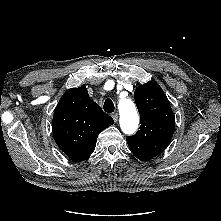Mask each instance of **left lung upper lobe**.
I'll return each instance as SVG.
<instances>
[{"label":"left lung upper lobe","mask_w":221,"mask_h":221,"mask_svg":"<svg viewBox=\"0 0 221 221\" xmlns=\"http://www.w3.org/2000/svg\"><path fill=\"white\" fill-rule=\"evenodd\" d=\"M135 102L140 113V130L126 137L131 152L147 161L160 154L169 145L175 127V118L169 101L155 82L135 90Z\"/></svg>","instance_id":"obj_1"}]
</instances>
